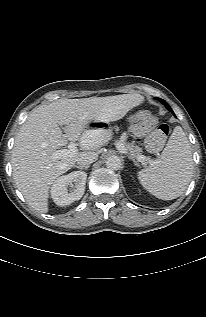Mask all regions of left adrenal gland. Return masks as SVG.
<instances>
[{"label":"left adrenal gland","mask_w":206,"mask_h":317,"mask_svg":"<svg viewBox=\"0 0 206 317\" xmlns=\"http://www.w3.org/2000/svg\"><path fill=\"white\" fill-rule=\"evenodd\" d=\"M129 158H131L133 160V162L136 163V161H135V159L133 157H129Z\"/></svg>","instance_id":"left-adrenal-gland-1"}]
</instances>
